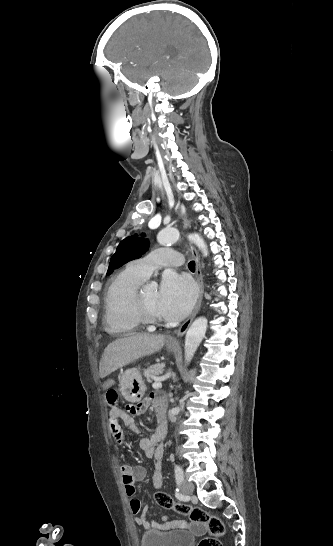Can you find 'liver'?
<instances>
[{"label": "liver", "mask_w": 333, "mask_h": 546, "mask_svg": "<svg viewBox=\"0 0 333 546\" xmlns=\"http://www.w3.org/2000/svg\"><path fill=\"white\" fill-rule=\"evenodd\" d=\"M165 336L134 334L110 343L100 361V378H105L118 368L161 350Z\"/></svg>", "instance_id": "obj_1"}]
</instances>
